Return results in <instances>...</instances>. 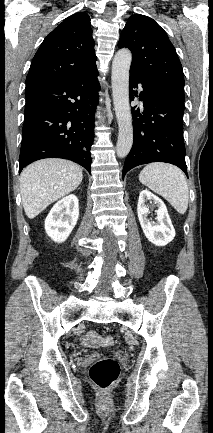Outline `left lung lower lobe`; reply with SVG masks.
Listing matches in <instances>:
<instances>
[{
	"mask_svg": "<svg viewBox=\"0 0 213 433\" xmlns=\"http://www.w3.org/2000/svg\"><path fill=\"white\" fill-rule=\"evenodd\" d=\"M142 86L139 96L134 90ZM130 101L134 96L143 101L144 110L132 107L133 147L124 167L123 178L132 168L151 162H166L178 166L187 175L183 140L184 102L150 87L139 75L130 71Z\"/></svg>",
	"mask_w": 213,
	"mask_h": 433,
	"instance_id": "1",
	"label": "left lung lower lobe"
}]
</instances>
